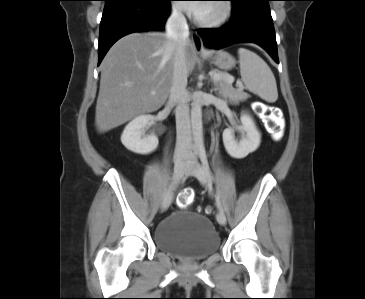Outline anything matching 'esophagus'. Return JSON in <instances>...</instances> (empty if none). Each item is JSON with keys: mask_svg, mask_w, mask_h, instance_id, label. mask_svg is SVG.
<instances>
[{"mask_svg": "<svg viewBox=\"0 0 365 299\" xmlns=\"http://www.w3.org/2000/svg\"><path fill=\"white\" fill-rule=\"evenodd\" d=\"M191 41H192L193 47L195 48V50L197 52H201L204 50L202 38L197 34L196 31H192Z\"/></svg>", "mask_w": 365, "mask_h": 299, "instance_id": "esophagus-1", "label": "esophagus"}]
</instances>
